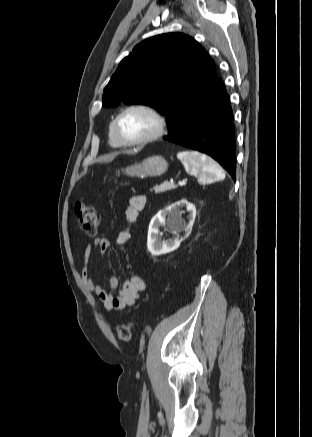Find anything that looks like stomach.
<instances>
[{"mask_svg": "<svg viewBox=\"0 0 312 437\" xmlns=\"http://www.w3.org/2000/svg\"><path fill=\"white\" fill-rule=\"evenodd\" d=\"M168 168L167 161L162 156H152L141 163L128 166L122 172L127 176L144 178L147 176H160Z\"/></svg>", "mask_w": 312, "mask_h": 437, "instance_id": "0dacf381", "label": "stomach"}]
</instances>
